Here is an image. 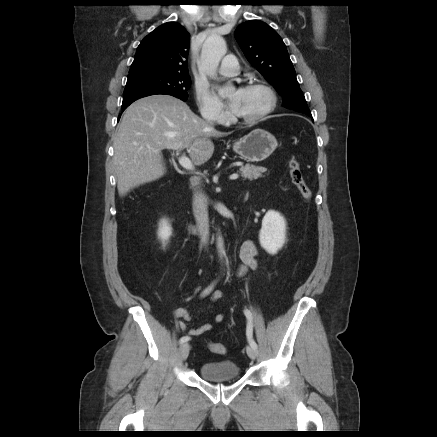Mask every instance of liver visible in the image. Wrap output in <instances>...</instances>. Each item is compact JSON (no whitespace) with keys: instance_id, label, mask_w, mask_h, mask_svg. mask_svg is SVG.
Segmentation results:
<instances>
[{"instance_id":"1","label":"liver","mask_w":437,"mask_h":437,"mask_svg":"<svg viewBox=\"0 0 437 437\" xmlns=\"http://www.w3.org/2000/svg\"><path fill=\"white\" fill-rule=\"evenodd\" d=\"M223 135L172 96L152 95L135 101L125 110L114 139L119 195L165 174L163 149L186 148L192 163L199 166L213 155L210 138Z\"/></svg>"}]
</instances>
